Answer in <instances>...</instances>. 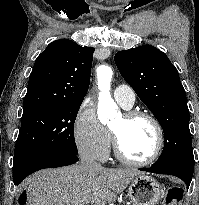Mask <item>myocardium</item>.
<instances>
[{"label": "myocardium", "mask_w": 199, "mask_h": 205, "mask_svg": "<svg viewBox=\"0 0 199 205\" xmlns=\"http://www.w3.org/2000/svg\"><path fill=\"white\" fill-rule=\"evenodd\" d=\"M123 116L127 120H131L135 118H146L147 120H149L155 130L156 142H155L154 150L149 157L141 160L132 159L123 153L119 143L118 136L115 133V131L111 129L114 153L116 158L122 163L131 166H146L153 163L160 156L164 147V130L161 123L152 113L145 110H127L123 113Z\"/></svg>", "instance_id": "myocardium-1"}]
</instances>
